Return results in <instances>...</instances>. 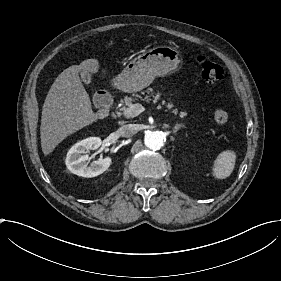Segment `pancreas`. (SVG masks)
<instances>
[{
    "label": "pancreas",
    "instance_id": "1",
    "mask_svg": "<svg viewBox=\"0 0 281 281\" xmlns=\"http://www.w3.org/2000/svg\"><path fill=\"white\" fill-rule=\"evenodd\" d=\"M146 93H147L148 95H146L145 98L142 99V100L146 101L147 103H149V102L152 100L150 97H153V103H156V102L160 99V96H161V93H160V92H157L156 94H154L152 88H148V89L146 90ZM135 96L138 97V98H141V96H139V95H135ZM135 100H137V98L134 99V98H132V97L125 96L124 99L121 100V103H123V104L126 105V106H130V105L132 104V102L135 101ZM165 103H166V102L163 100V101H162V105H164ZM166 107H167L168 110H170V109L173 107V104H172V103H168V104L166 105ZM123 108H124V107H122L121 110H123ZM172 113H174L175 115H177L178 110H177V109H174V110L172 111ZM185 115H186L185 113L181 112L180 117L182 118V117H184Z\"/></svg>",
    "mask_w": 281,
    "mask_h": 281
}]
</instances>
